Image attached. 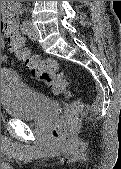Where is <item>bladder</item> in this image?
<instances>
[{"label": "bladder", "instance_id": "bladder-1", "mask_svg": "<svg viewBox=\"0 0 121 169\" xmlns=\"http://www.w3.org/2000/svg\"><path fill=\"white\" fill-rule=\"evenodd\" d=\"M1 104L6 116L18 120H40L53 106L47 95L28 86L14 71L1 72Z\"/></svg>", "mask_w": 121, "mask_h": 169}]
</instances>
